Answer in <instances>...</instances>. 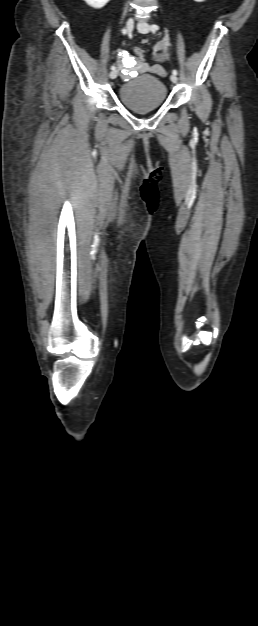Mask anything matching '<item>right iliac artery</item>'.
<instances>
[{
	"mask_svg": "<svg viewBox=\"0 0 258 626\" xmlns=\"http://www.w3.org/2000/svg\"><path fill=\"white\" fill-rule=\"evenodd\" d=\"M122 33H123V34H126V33H127V29H125V28H124V29L122 30ZM111 70H115V66H114V65H112V66H111Z\"/></svg>",
	"mask_w": 258,
	"mask_h": 626,
	"instance_id": "obj_1",
	"label": "right iliac artery"
}]
</instances>
